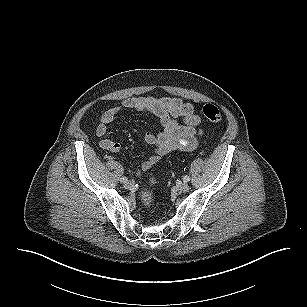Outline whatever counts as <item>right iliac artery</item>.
Returning a JSON list of instances; mask_svg holds the SVG:
<instances>
[{
  "label": "right iliac artery",
  "instance_id": "82829eb1",
  "mask_svg": "<svg viewBox=\"0 0 307 307\" xmlns=\"http://www.w3.org/2000/svg\"><path fill=\"white\" fill-rule=\"evenodd\" d=\"M121 183H126L128 181L127 177H121L120 178Z\"/></svg>",
  "mask_w": 307,
  "mask_h": 307
}]
</instances>
